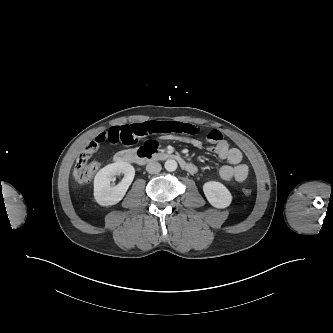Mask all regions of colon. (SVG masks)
<instances>
[{
  "label": "colon",
  "instance_id": "obj_1",
  "mask_svg": "<svg viewBox=\"0 0 333 333\" xmlns=\"http://www.w3.org/2000/svg\"><path fill=\"white\" fill-rule=\"evenodd\" d=\"M100 141L91 142L78 156L74 165L73 177L78 184L85 185L92 181L100 168L97 161H90L91 157L98 151ZM246 196L251 195L249 188H244Z\"/></svg>",
  "mask_w": 333,
  "mask_h": 333
}]
</instances>
